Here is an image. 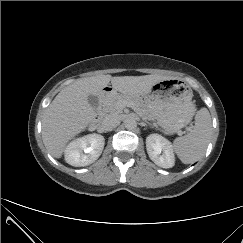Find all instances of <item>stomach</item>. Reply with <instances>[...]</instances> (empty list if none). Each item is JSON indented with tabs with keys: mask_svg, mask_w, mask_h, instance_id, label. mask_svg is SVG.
I'll list each match as a JSON object with an SVG mask.
<instances>
[{
	"mask_svg": "<svg viewBox=\"0 0 243 243\" xmlns=\"http://www.w3.org/2000/svg\"><path fill=\"white\" fill-rule=\"evenodd\" d=\"M161 82L143 96L144 104L166 132L174 133L185 127L193 117V92L180 81Z\"/></svg>",
	"mask_w": 243,
	"mask_h": 243,
	"instance_id": "1",
	"label": "stomach"
}]
</instances>
